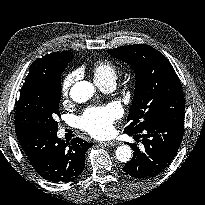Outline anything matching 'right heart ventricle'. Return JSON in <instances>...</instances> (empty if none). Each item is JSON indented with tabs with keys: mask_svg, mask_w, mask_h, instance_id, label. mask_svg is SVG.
Segmentation results:
<instances>
[{
	"mask_svg": "<svg viewBox=\"0 0 205 205\" xmlns=\"http://www.w3.org/2000/svg\"><path fill=\"white\" fill-rule=\"evenodd\" d=\"M92 73L98 85L110 80L115 81L118 75V66L109 60H99L94 63Z\"/></svg>",
	"mask_w": 205,
	"mask_h": 205,
	"instance_id": "e07e8e85",
	"label": "right heart ventricle"
}]
</instances>
